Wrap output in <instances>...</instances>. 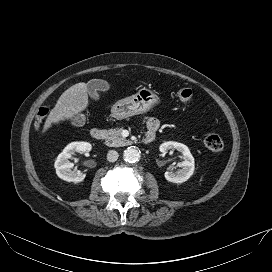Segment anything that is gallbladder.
Wrapping results in <instances>:
<instances>
[{
	"mask_svg": "<svg viewBox=\"0 0 272 272\" xmlns=\"http://www.w3.org/2000/svg\"><path fill=\"white\" fill-rule=\"evenodd\" d=\"M108 89V82L102 79H92L87 83L88 94L95 101L100 100L99 91H106Z\"/></svg>",
	"mask_w": 272,
	"mask_h": 272,
	"instance_id": "gallbladder-1",
	"label": "gallbladder"
}]
</instances>
